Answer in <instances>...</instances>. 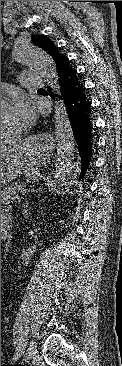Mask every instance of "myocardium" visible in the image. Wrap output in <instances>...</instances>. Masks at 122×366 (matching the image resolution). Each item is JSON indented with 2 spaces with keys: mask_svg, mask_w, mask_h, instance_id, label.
I'll return each mask as SVG.
<instances>
[{
  "mask_svg": "<svg viewBox=\"0 0 122 366\" xmlns=\"http://www.w3.org/2000/svg\"><path fill=\"white\" fill-rule=\"evenodd\" d=\"M8 104V100L1 97V107L2 106H5ZM15 137L16 136H12V137H6V138H1V145L2 144H5V145H8V144H11L15 141Z\"/></svg>",
  "mask_w": 122,
  "mask_h": 366,
  "instance_id": "f54148a6",
  "label": "myocardium"
}]
</instances>
